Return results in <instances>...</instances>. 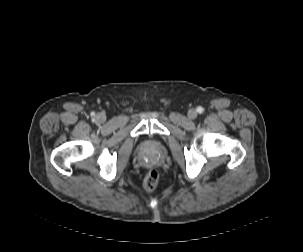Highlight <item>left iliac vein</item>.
Here are the masks:
<instances>
[{"instance_id":"obj_1","label":"left iliac vein","mask_w":303,"mask_h":252,"mask_svg":"<svg viewBox=\"0 0 303 252\" xmlns=\"http://www.w3.org/2000/svg\"><path fill=\"white\" fill-rule=\"evenodd\" d=\"M188 115L191 119H194L197 116V112L195 110H190Z\"/></svg>"}]
</instances>
